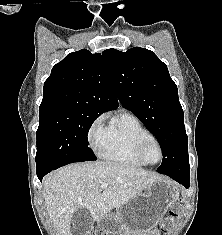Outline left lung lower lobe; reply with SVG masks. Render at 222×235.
<instances>
[{"label": "left lung lower lobe", "mask_w": 222, "mask_h": 235, "mask_svg": "<svg viewBox=\"0 0 222 235\" xmlns=\"http://www.w3.org/2000/svg\"><path fill=\"white\" fill-rule=\"evenodd\" d=\"M172 179L176 180L178 183L182 184L185 188H189L190 176L189 174H165Z\"/></svg>", "instance_id": "obj_1"}]
</instances>
